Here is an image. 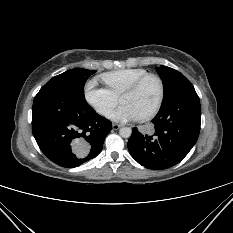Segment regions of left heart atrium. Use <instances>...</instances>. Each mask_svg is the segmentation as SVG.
Instances as JSON below:
<instances>
[{
    "label": "left heart atrium",
    "instance_id": "left-heart-atrium-1",
    "mask_svg": "<svg viewBox=\"0 0 233 233\" xmlns=\"http://www.w3.org/2000/svg\"><path fill=\"white\" fill-rule=\"evenodd\" d=\"M110 118L116 121H132L137 120L139 117L135 110L128 104H121L116 110L110 114Z\"/></svg>",
    "mask_w": 233,
    "mask_h": 233
}]
</instances>
